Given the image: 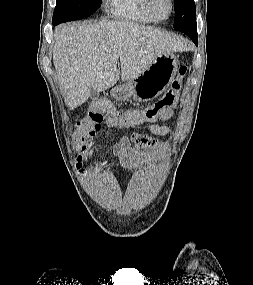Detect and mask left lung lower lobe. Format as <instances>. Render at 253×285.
I'll return each mask as SVG.
<instances>
[{"label": "left lung lower lobe", "mask_w": 253, "mask_h": 285, "mask_svg": "<svg viewBox=\"0 0 253 285\" xmlns=\"http://www.w3.org/2000/svg\"><path fill=\"white\" fill-rule=\"evenodd\" d=\"M184 33L187 34L193 40L195 45H197L198 43L197 26L185 30Z\"/></svg>", "instance_id": "0a47b994"}]
</instances>
